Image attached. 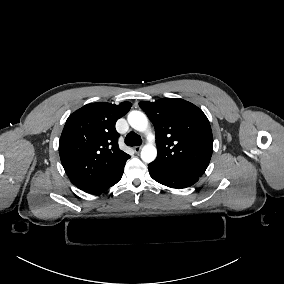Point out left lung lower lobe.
<instances>
[{
    "label": "left lung lower lobe",
    "mask_w": 284,
    "mask_h": 284,
    "mask_svg": "<svg viewBox=\"0 0 284 284\" xmlns=\"http://www.w3.org/2000/svg\"><path fill=\"white\" fill-rule=\"evenodd\" d=\"M148 169L155 181L171 188H186L199 180L198 176L174 172L154 163H150Z\"/></svg>",
    "instance_id": "1"
}]
</instances>
